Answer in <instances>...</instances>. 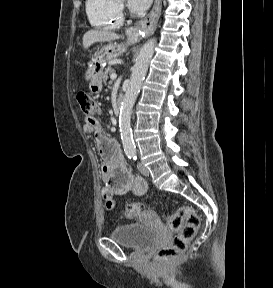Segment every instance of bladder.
<instances>
[{
	"label": "bladder",
	"mask_w": 273,
	"mask_h": 288,
	"mask_svg": "<svg viewBox=\"0 0 273 288\" xmlns=\"http://www.w3.org/2000/svg\"><path fill=\"white\" fill-rule=\"evenodd\" d=\"M110 236L117 243L142 252L157 243L159 234L156 229L141 224H126L116 227Z\"/></svg>",
	"instance_id": "bladder-1"
}]
</instances>
